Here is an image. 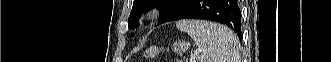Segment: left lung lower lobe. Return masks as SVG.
<instances>
[{
  "label": "left lung lower lobe",
  "instance_id": "obj_1",
  "mask_svg": "<svg viewBox=\"0 0 331 62\" xmlns=\"http://www.w3.org/2000/svg\"><path fill=\"white\" fill-rule=\"evenodd\" d=\"M186 18L225 24L241 40V11L237 0H185L167 22Z\"/></svg>",
  "mask_w": 331,
  "mask_h": 62
}]
</instances>
